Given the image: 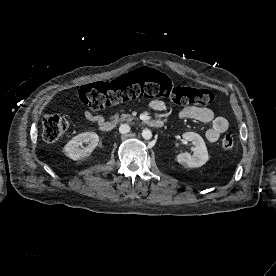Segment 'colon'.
I'll return each mask as SVG.
<instances>
[{
    "label": "colon",
    "instance_id": "1",
    "mask_svg": "<svg viewBox=\"0 0 276 276\" xmlns=\"http://www.w3.org/2000/svg\"><path fill=\"white\" fill-rule=\"evenodd\" d=\"M79 97L88 107L98 110L138 98H166L176 105L206 106L213 101L209 89L177 86L164 73L150 67H140L113 82L87 84L79 89ZM43 138L58 140L69 128V121L56 113L47 114L42 121ZM235 140L226 134L221 140L225 152L234 149Z\"/></svg>",
    "mask_w": 276,
    "mask_h": 276
}]
</instances>
